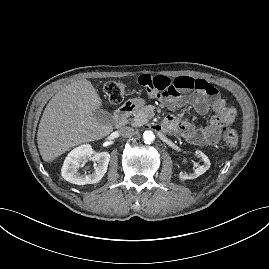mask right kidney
<instances>
[{"label": "right kidney", "mask_w": 269, "mask_h": 269, "mask_svg": "<svg viewBox=\"0 0 269 269\" xmlns=\"http://www.w3.org/2000/svg\"><path fill=\"white\" fill-rule=\"evenodd\" d=\"M87 159L96 161L92 174H81L79 166ZM110 161V154L108 152H95L91 145L84 144L73 149L66 157L62 167V177L73 184L85 185L99 182L107 171Z\"/></svg>", "instance_id": "ca27d5eb"}]
</instances>
